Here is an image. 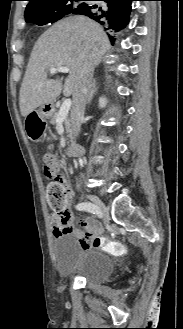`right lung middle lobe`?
Listing matches in <instances>:
<instances>
[{
  "label": "right lung middle lobe",
  "mask_w": 183,
  "mask_h": 329,
  "mask_svg": "<svg viewBox=\"0 0 183 329\" xmlns=\"http://www.w3.org/2000/svg\"><path fill=\"white\" fill-rule=\"evenodd\" d=\"M77 1H84V0H66L61 3L55 4L52 6L49 15L41 18V19H35L31 18L29 20H26L28 23H32L33 25H45L47 23H54L64 17L65 15H68L72 13L74 10L80 8L82 6V3L78 6H75V2Z\"/></svg>",
  "instance_id": "obj_1"
}]
</instances>
